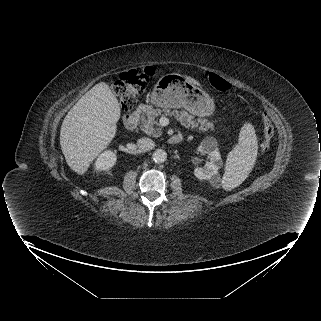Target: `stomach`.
<instances>
[{"mask_svg": "<svg viewBox=\"0 0 321 321\" xmlns=\"http://www.w3.org/2000/svg\"><path fill=\"white\" fill-rule=\"evenodd\" d=\"M151 102L162 108L183 107L200 117H209L215 110L214 100L208 93L177 73L163 75L158 80Z\"/></svg>", "mask_w": 321, "mask_h": 321, "instance_id": "0dacf381", "label": "stomach"}]
</instances>
